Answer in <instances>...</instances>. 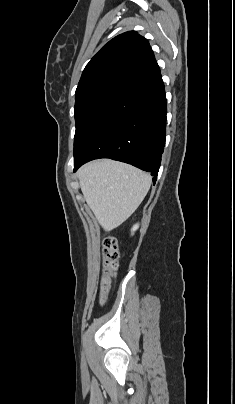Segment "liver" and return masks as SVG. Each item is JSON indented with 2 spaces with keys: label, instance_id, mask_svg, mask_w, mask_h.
I'll return each mask as SVG.
<instances>
[{
  "label": "liver",
  "instance_id": "1",
  "mask_svg": "<svg viewBox=\"0 0 235 404\" xmlns=\"http://www.w3.org/2000/svg\"><path fill=\"white\" fill-rule=\"evenodd\" d=\"M77 175L89 208L106 232L134 213L151 185L149 174L109 159L87 163Z\"/></svg>",
  "mask_w": 235,
  "mask_h": 404
}]
</instances>
